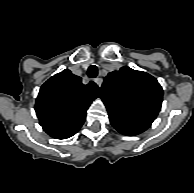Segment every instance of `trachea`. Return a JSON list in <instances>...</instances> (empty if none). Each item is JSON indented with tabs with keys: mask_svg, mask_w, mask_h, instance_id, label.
<instances>
[{
	"mask_svg": "<svg viewBox=\"0 0 194 193\" xmlns=\"http://www.w3.org/2000/svg\"><path fill=\"white\" fill-rule=\"evenodd\" d=\"M87 74L90 78H96L98 75V69L95 65H92L88 68Z\"/></svg>",
	"mask_w": 194,
	"mask_h": 193,
	"instance_id": "1",
	"label": "trachea"
}]
</instances>
